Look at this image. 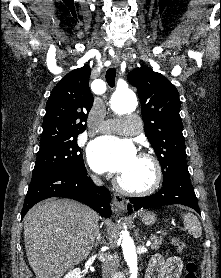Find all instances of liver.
<instances>
[{"mask_svg": "<svg viewBox=\"0 0 221 278\" xmlns=\"http://www.w3.org/2000/svg\"><path fill=\"white\" fill-rule=\"evenodd\" d=\"M98 215L69 199H48L24 218L27 258L36 278H61L87 258L98 227Z\"/></svg>", "mask_w": 221, "mask_h": 278, "instance_id": "6515ba94", "label": "liver"}]
</instances>
